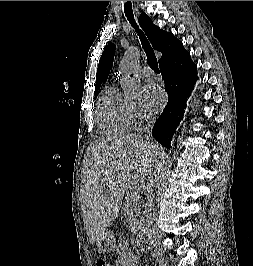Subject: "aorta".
Wrapping results in <instances>:
<instances>
[{
  "instance_id": "obj_1",
  "label": "aorta",
  "mask_w": 253,
  "mask_h": 266,
  "mask_svg": "<svg viewBox=\"0 0 253 266\" xmlns=\"http://www.w3.org/2000/svg\"><path fill=\"white\" fill-rule=\"evenodd\" d=\"M140 53L135 47H130L124 55L120 64L121 85L126 97H136L140 94L141 85L135 76L137 62ZM164 165L161 164L159 170H163Z\"/></svg>"
}]
</instances>
